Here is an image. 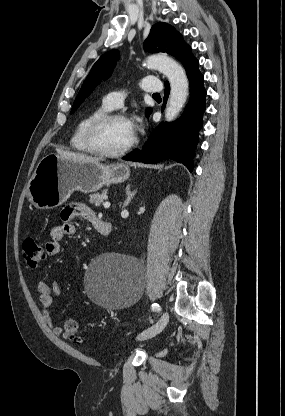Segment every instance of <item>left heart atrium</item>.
<instances>
[{"mask_svg": "<svg viewBox=\"0 0 285 416\" xmlns=\"http://www.w3.org/2000/svg\"><path fill=\"white\" fill-rule=\"evenodd\" d=\"M127 123H128L129 134L131 137H133L137 129V124L135 121H132V120L127 121Z\"/></svg>", "mask_w": 285, "mask_h": 416, "instance_id": "obj_1", "label": "left heart atrium"}]
</instances>
